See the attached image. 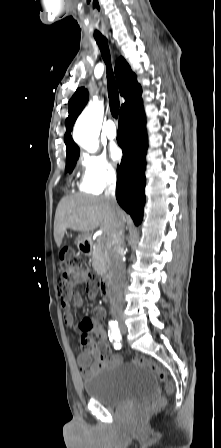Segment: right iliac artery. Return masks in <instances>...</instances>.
<instances>
[{
	"mask_svg": "<svg viewBox=\"0 0 221 448\" xmlns=\"http://www.w3.org/2000/svg\"><path fill=\"white\" fill-rule=\"evenodd\" d=\"M110 326V331H109V339L110 341H112V339L116 340V341H120L121 340V333L120 330L118 328V322L117 321H111L109 323Z\"/></svg>",
	"mask_w": 221,
	"mask_h": 448,
	"instance_id": "82829eb1",
	"label": "right iliac artery"
}]
</instances>
